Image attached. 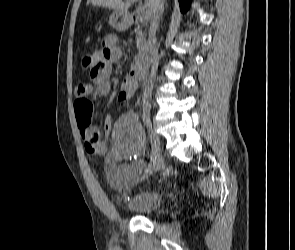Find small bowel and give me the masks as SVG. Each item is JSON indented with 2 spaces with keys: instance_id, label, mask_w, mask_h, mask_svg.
Returning <instances> with one entry per match:
<instances>
[{
  "instance_id": "small-bowel-1",
  "label": "small bowel",
  "mask_w": 295,
  "mask_h": 250,
  "mask_svg": "<svg viewBox=\"0 0 295 250\" xmlns=\"http://www.w3.org/2000/svg\"><path fill=\"white\" fill-rule=\"evenodd\" d=\"M94 65L90 72V82L77 86V99L100 98L111 90V64L122 57V51L117 45V37L108 34L102 38V48L93 54ZM137 79L134 72L121 84L118 94L119 101L129 100L137 89ZM106 134L111 133L112 144L108 148L99 138L98 129L89 127L80 128V135L85 150L91 155L110 154L116 161L126 158L139 157L143 153V132L135 113L126 112L112 124V119L106 115L103 120ZM145 167L144 161L136 159L133 163L117 164L108 171L110 185L117 191L129 189L137 180L139 173Z\"/></svg>"
}]
</instances>
